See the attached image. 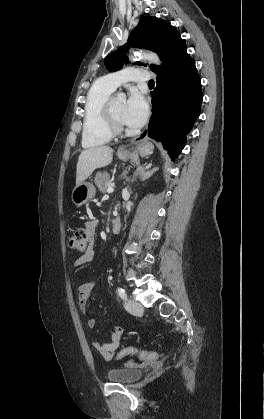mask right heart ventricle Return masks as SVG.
I'll list each match as a JSON object with an SVG mask.
<instances>
[{"mask_svg": "<svg viewBox=\"0 0 264 419\" xmlns=\"http://www.w3.org/2000/svg\"><path fill=\"white\" fill-rule=\"evenodd\" d=\"M113 91L101 80L89 89L84 107L83 147L94 148L111 141L113 134L109 128L105 106Z\"/></svg>", "mask_w": 264, "mask_h": 419, "instance_id": "e07e8e85", "label": "right heart ventricle"}]
</instances>
